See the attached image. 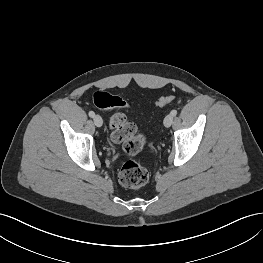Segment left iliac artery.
<instances>
[{"label":"left iliac artery","instance_id":"left-iliac-artery-1","mask_svg":"<svg viewBox=\"0 0 263 263\" xmlns=\"http://www.w3.org/2000/svg\"><path fill=\"white\" fill-rule=\"evenodd\" d=\"M171 115H172V116H176V115H177V110H175V109L172 110V111H171Z\"/></svg>","mask_w":263,"mask_h":263}]
</instances>
